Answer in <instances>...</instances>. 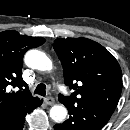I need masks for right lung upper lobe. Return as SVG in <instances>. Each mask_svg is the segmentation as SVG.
Masks as SVG:
<instances>
[{
  "label": "right lung upper lobe",
  "mask_w": 130,
  "mask_h": 130,
  "mask_svg": "<svg viewBox=\"0 0 130 130\" xmlns=\"http://www.w3.org/2000/svg\"><path fill=\"white\" fill-rule=\"evenodd\" d=\"M44 42V38L20 35L13 30L0 32V118L18 113L39 100L31 95L21 70L25 52Z\"/></svg>",
  "instance_id": "obj_1"
}]
</instances>
